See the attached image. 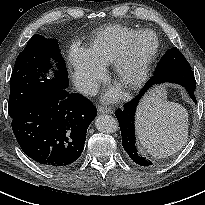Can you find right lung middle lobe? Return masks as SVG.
Instances as JSON below:
<instances>
[{"label":"right lung middle lobe","instance_id":"1","mask_svg":"<svg viewBox=\"0 0 205 205\" xmlns=\"http://www.w3.org/2000/svg\"><path fill=\"white\" fill-rule=\"evenodd\" d=\"M51 58L57 62L59 71H56L55 78L47 79L45 74L52 67ZM52 85L61 88L68 86L67 71L57 40L33 35L19 53L12 71L8 103L10 117L23 110L39 91Z\"/></svg>","mask_w":205,"mask_h":205}]
</instances>
